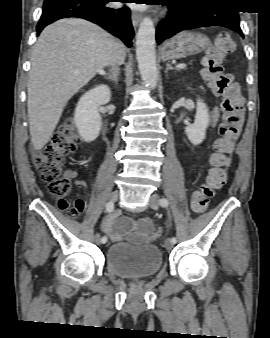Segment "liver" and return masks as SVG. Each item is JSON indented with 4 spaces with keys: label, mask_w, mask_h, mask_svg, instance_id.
<instances>
[{
    "label": "liver",
    "mask_w": 270,
    "mask_h": 338,
    "mask_svg": "<svg viewBox=\"0 0 270 338\" xmlns=\"http://www.w3.org/2000/svg\"><path fill=\"white\" fill-rule=\"evenodd\" d=\"M124 46L84 19H61L48 25L33 47L28 81L31 142L41 150L50 140L72 96L109 64Z\"/></svg>",
    "instance_id": "obj_1"
}]
</instances>
